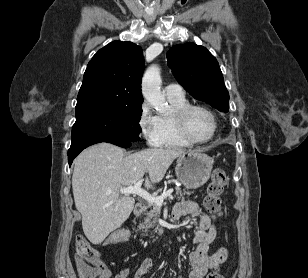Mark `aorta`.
Masks as SVG:
<instances>
[{"mask_svg": "<svg viewBox=\"0 0 308 278\" xmlns=\"http://www.w3.org/2000/svg\"><path fill=\"white\" fill-rule=\"evenodd\" d=\"M160 69L156 65L150 66L142 79V94L144 98L158 111L165 113L169 106L165 95L161 92Z\"/></svg>", "mask_w": 308, "mask_h": 278, "instance_id": "obj_1", "label": "aorta"}]
</instances>
